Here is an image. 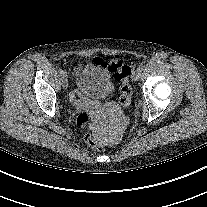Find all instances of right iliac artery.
Listing matches in <instances>:
<instances>
[{"instance_id": "obj_1", "label": "right iliac artery", "mask_w": 207, "mask_h": 207, "mask_svg": "<svg viewBox=\"0 0 207 207\" xmlns=\"http://www.w3.org/2000/svg\"><path fill=\"white\" fill-rule=\"evenodd\" d=\"M66 72L62 69L59 70V75L60 76H65Z\"/></svg>"}]
</instances>
